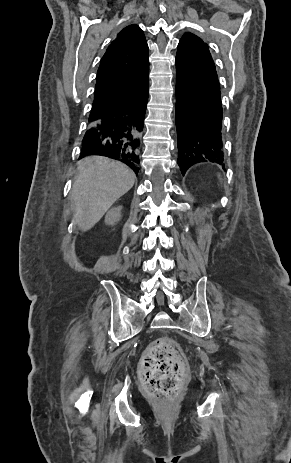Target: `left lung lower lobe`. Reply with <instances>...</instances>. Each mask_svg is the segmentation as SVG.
<instances>
[{"label":"left lung lower lobe","mask_w":291,"mask_h":463,"mask_svg":"<svg viewBox=\"0 0 291 463\" xmlns=\"http://www.w3.org/2000/svg\"><path fill=\"white\" fill-rule=\"evenodd\" d=\"M220 88L176 71L178 165L214 162L224 167Z\"/></svg>","instance_id":"1"}]
</instances>
